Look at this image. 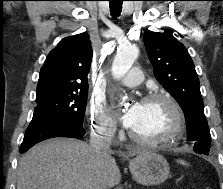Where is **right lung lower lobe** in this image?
Returning a JSON list of instances; mask_svg holds the SVG:
<instances>
[{
    "label": "right lung lower lobe",
    "mask_w": 223,
    "mask_h": 189,
    "mask_svg": "<svg viewBox=\"0 0 223 189\" xmlns=\"http://www.w3.org/2000/svg\"><path fill=\"white\" fill-rule=\"evenodd\" d=\"M85 134L83 126L70 123L66 119L34 114L23 142L19 148L20 153L26 152L38 142L54 137L79 138Z\"/></svg>",
    "instance_id": "98d812e1"
}]
</instances>
